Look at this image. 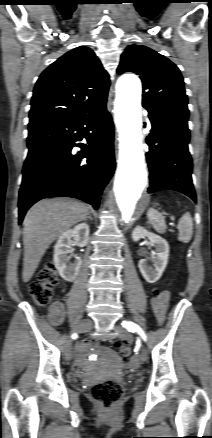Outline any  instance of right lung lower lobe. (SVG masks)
Returning <instances> with one entry per match:
<instances>
[{
	"mask_svg": "<svg viewBox=\"0 0 212 438\" xmlns=\"http://www.w3.org/2000/svg\"><path fill=\"white\" fill-rule=\"evenodd\" d=\"M28 130L19 224L35 202L48 197H74L98 209L102 190L115 170L114 129L106 105L79 118L32 124ZM83 139L89 145L78 143Z\"/></svg>",
	"mask_w": 212,
	"mask_h": 438,
	"instance_id": "right-lung-lower-lobe-1",
	"label": "right lung lower lobe"
}]
</instances>
